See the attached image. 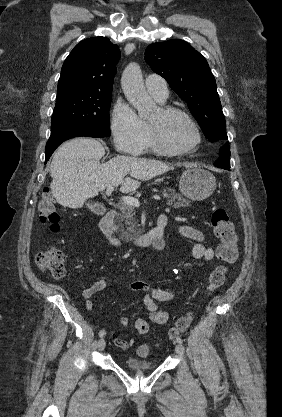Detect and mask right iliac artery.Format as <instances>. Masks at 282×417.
I'll list each match as a JSON object with an SVG mask.
<instances>
[{
  "mask_svg": "<svg viewBox=\"0 0 282 417\" xmlns=\"http://www.w3.org/2000/svg\"><path fill=\"white\" fill-rule=\"evenodd\" d=\"M106 334V331L104 329L100 330L99 336L103 337Z\"/></svg>",
  "mask_w": 282,
  "mask_h": 417,
  "instance_id": "right-iliac-artery-1",
  "label": "right iliac artery"
}]
</instances>
